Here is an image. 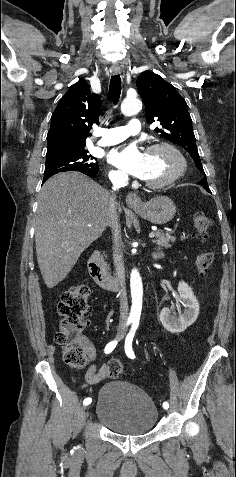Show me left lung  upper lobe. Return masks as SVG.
<instances>
[{"label":"left lung upper lobe","instance_id":"left-lung-upper-lobe-1","mask_svg":"<svg viewBox=\"0 0 236 477\" xmlns=\"http://www.w3.org/2000/svg\"><path fill=\"white\" fill-rule=\"evenodd\" d=\"M137 89L145 102L147 122L151 124L159 121L162 128H155V131L163 138L183 147L191 155L199 171L205 175L187 103L175 87L161 76L145 71L137 79ZM198 184L210 191L206 176Z\"/></svg>","mask_w":236,"mask_h":477}]
</instances>
